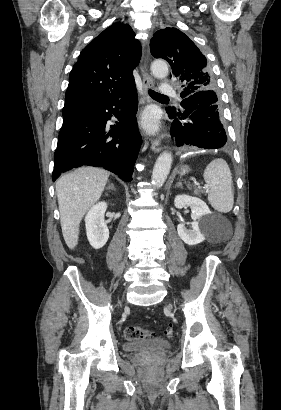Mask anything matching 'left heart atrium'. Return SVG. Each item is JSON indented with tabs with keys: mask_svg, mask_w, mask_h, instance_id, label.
I'll use <instances>...</instances> for the list:
<instances>
[{
	"mask_svg": "<svg viewBox=\"0 0 281 410\" xmlns=\"http://www.w3.org/2000/svg\"><path fill=\"white\" fill-rule=\"evenodd\" d=\"M144 125L149 129H155L157 126V117L154 112H147L143 118Z\"/></svg>",
	"mask_w": 281,
	"mask_h": 410,
	"instance_id": "left-heart-atrium-1",
	"label": "left heart atrium"
}]
</instances>
